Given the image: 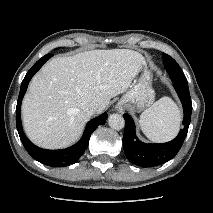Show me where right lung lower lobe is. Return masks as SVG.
Returning <instances> with one entry per match:
<instances>
[{
  "label": "right lung lower lobe",
  "mask_w": 213,
  "mask_h": 213,
  "mask_svg": "<svg viewBox=\"0 0 213 213\" xmlns=\"http://www.w3.org/2000/svg\"><path fill=\"white\" fill-rule=\"evenodd\" d=\"M52 56L53 54H46L45 56H43L31 67V69L28 71V73L24 77L21 83L20 93H19L17 107H16V126H17L20 139L26 151L30 154L31 157H33L35 160L47 166L64 167V166H68L70 164L76 163L78 159L82 156V154L84 153V151L86 150L88 146L89 139L93 131L97 128V126L103 125L106 122L107 113H103L99 117L89 121L82 138L79 140V142H77L75 145H73L70 148L63 149V150H44L34 146L32 143L29 142V140L24 135V132L22 129V123L20 119L21 102L27 90L29 81L31 80L33 75Z\"/></svg>",
  "instance_id": "98d812e1"
}]
</instances>
